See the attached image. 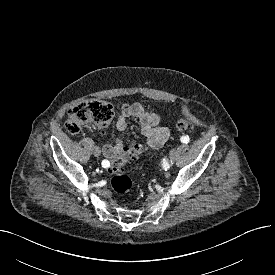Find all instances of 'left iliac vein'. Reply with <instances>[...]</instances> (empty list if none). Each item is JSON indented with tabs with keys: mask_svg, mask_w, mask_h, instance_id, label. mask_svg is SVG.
Segmentation results:
<instances>
[{
	"mask_svg": "<svg viewBox=\"0 0 275 275\" xmlns=\"http://www.w3.org/2000/svg\"><path fill=\"white\" fill-rule=\"evenodd\" d=\"M177 155V150L176 149H172L170 151V164H173V161L175 160Z\"/></svg>",
	"mask_w": 275,
	"mask_h": 275,
	"instance_id": "1",
	"label": "left iliac vein"
}]
</instances>
